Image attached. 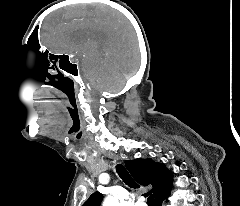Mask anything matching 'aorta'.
<instances>
[{"label": "aorta", "mask_w": 240, "mask_h": 206, "mask_svg": "<svg viewBox=\"0 0 240 206\" xmlns=\"http://www.w3.org/2000/svg\"><path fill=\"white\" fill-rule=\"evenodd\" d=\"M103 206H119V204L115 198L108 196L104 199Z\"/></svg>", "instance_id": "obj_1"}]
</instances>
